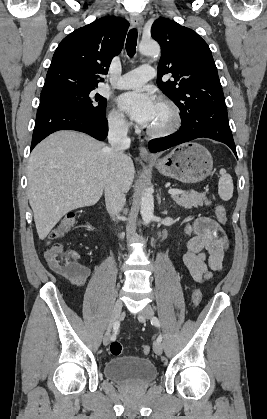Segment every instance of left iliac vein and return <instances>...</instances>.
<instances>
[{"instance_id": "obj_1", "label": "left iliac vein", "mask_w": 267, "mask_h": 419, "mask_svg": "<svg viewBox=\"0 0 267 419\" xmlns=\"http://www.w3.org/2000/svg\"><path fill=\"white\" fill-rule=\"evenodd\" d=\"M153 315H154V311H153L152 307L147 305L142 310V312H140L138 314V319H139L140 322H145L146 318H151V317H153ZM153 350L157 355H161L162 351H163V346H162L161 342H158V341L154 342Z\"/></svg>"}]
</instances>
